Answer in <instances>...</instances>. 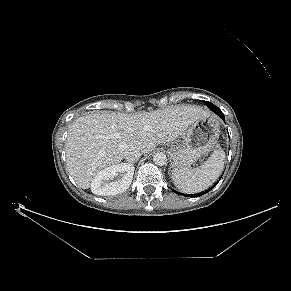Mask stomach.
<instances>
[{
    "instance_id": "1",
    "label": "stomach",
    "mask_w": 291,
    "mask_h": 291,
    "mask_svg": "<svg viewBox=\"0 0 291 291\" xmlns=\"http://www.w3.org/2000/svg\"><path fill=\"white\" fill-rule=\"evenodd\" d=\"M219 122L210 115L195 121L169 148L173 169H182L208 154L217 143Z\"/></svg>"
}]
</instances>
